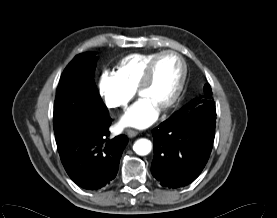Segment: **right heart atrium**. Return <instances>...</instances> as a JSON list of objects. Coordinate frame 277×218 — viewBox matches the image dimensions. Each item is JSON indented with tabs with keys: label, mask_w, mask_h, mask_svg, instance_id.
<instances>
[{
	"label": "right heart atrium",
	"mask_w": 277,
	"mask_h": 218,
	"mask_svg": "<svg viewBox=\"0 0 277 218\" xmlns=\"http://www.w3.org/2000/svg\"><path fill=\"white\" fill-rule=\"evenodd\" d=\"M99 93L109 108H124L132 100L136 90L112 70H103L99 78Z\"/></svg>",
	"instance_id": "d8ad5b80"
}]
</instances>
